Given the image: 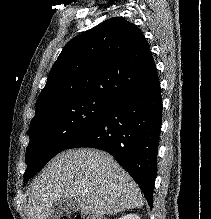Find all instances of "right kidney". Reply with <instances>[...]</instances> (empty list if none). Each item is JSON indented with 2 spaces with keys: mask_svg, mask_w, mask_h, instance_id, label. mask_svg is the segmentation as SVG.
<instances>
[{
  "mask_svg": "<svg viewBox=\"0 0 211 219\" xmlns=\"http://www.w3.org/2000/svg\"><path fill=\"white\" fill-rule=\"evenodd\" d=\"M119 219H140V217L136 214H127V215L122 216Z\"/></svg>",
  "mask_w": 211,
  "mask_h": 219,
  "instance_id": "1",
  "label": "right kidney"
}]
</instances>
